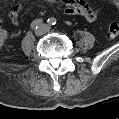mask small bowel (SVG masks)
I'll return each instance as SVG.
<instances>
[{
  "instance_id": "obj_1",
  "label": "small bowel",
  "mask_w": 119,
  "mask_h": 119,
  "mask_svg": "<svg viewBox=\"0 0 119 119\" xmlns=\"http://www.w3.org/2000/svg\"><path fill=\"white\" fill-rule=\"evenodd\" d=\"M62 3L65 6V13L68 15H80L88 21H94L97 17V10L83 1L62 0ZM20 10L21 6L16 5L9 11V17L15 25L18 24V15Z\"/></svg>"
}]
</instances>
